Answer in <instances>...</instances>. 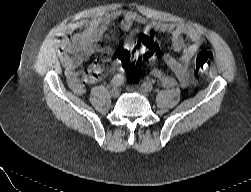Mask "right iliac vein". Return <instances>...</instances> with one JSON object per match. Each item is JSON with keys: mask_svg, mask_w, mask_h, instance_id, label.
<instances>
[{"mask_svg": "<svg viewBox=\"0 0 251 192\" xmlns=\"http://www.w3.org/2000/svg\"><path fill=\"white\" fill-rule=\"evenodd\" d=\"M111 96L114 97V98H117L119 95H120V91L118 88H113L111 91Z\"/></svg>", "mask_w": 251, "mask_h": 192, "instance_id": "1", "label": "right iliac vein"}]
</instances>
